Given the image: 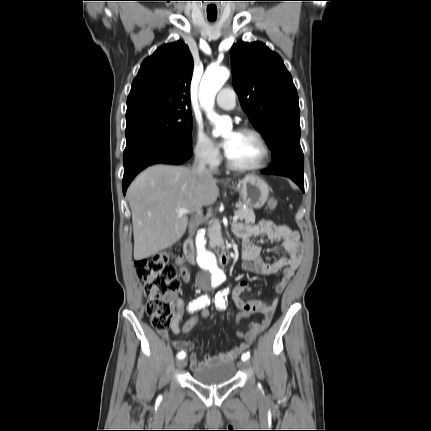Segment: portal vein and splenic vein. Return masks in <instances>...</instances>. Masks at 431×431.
I'll return each instance as SVG.
<instances>
[{"mask_svg": "<svg viewBox=\"0 0 431 431\" xmlns=\"http://www.w3.org/2000/svg\"><path fill=\"white\" fill-rule=\"evenodd\" d=\"M177 213H178L179 215H183V214H187V213H189V211H188V210H186V209H179V210H177ZM238 218H239V216H238L237 214H235V215L233 216V221H237V220H238Z\"/></svg>", "mask_w": 431, "mask_h": 431, "instance_id": "portal-vein-and-splenic-vein-1", "label": "portal vein and splenic vein"}]
</instances>
